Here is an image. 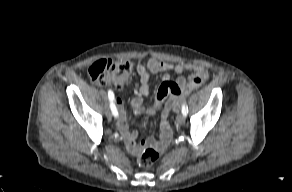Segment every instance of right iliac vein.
<instances>
[{"instance_id":"obj_1","label":"right iliac vein","mask_w":292,"mask_h":192,"mask_svg":"<svg viewBox=\"0 0 292 192\" xmlns=\"http://www.w3.org/2000/svg\"><path fill=\"white\" fill-rule=\"evenodd\" d=\"M105 114L107 117H111V109L109 107L106 108Z\"/></svg>"}]
</instances>
